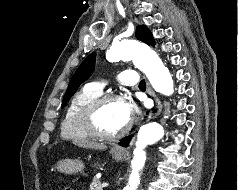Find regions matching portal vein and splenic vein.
<instances>
[{"mask_svg":"<svg viewBox=\"0 0 238 190\" xmlns=\"http://www.w3.org/2000/svg\"><path fill=\"white\" fill-rule=\"evenodd\" d=\"M108 186H109L108 183H102V188H106V187H108Z\"/></svg>","mask_w":238,"mask_h":190,"instance_id":"obj_1","label":"portal vein and splenic vein"}]
</instances>
